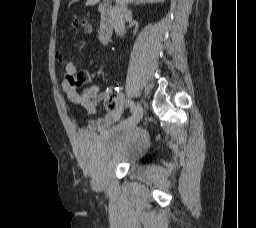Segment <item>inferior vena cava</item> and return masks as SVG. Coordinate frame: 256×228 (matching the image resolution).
Wrapping results in <instances>:
<instances>
[{"instance_id": "inferior-vena-cava-1", "label": "inferior vena cava", "mask_w": 256, "mask_h": 228, "mask_svg": "<svg viewBox=\"0 0 256 228\" xmlns=\"http://www.w3.org/2000/svg\"><path fill=\"white\" fill-rule=\"evenodd\" d=\"M129 0H122L121 1V8L115 7L112 11V19L114 24V29L116 34L122 35L125 29V22H124V13L127 11L126 5L128 4Z\"/></svg>"}]
</instances>
